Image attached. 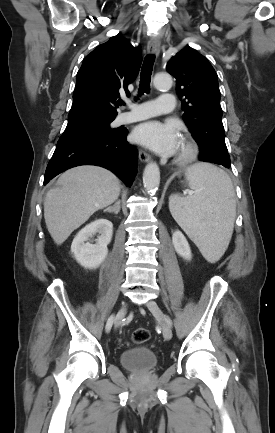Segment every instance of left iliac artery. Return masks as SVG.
<instances>
[{
    "mask_svg": "<svg viewBox=\"0 0 275 433\" xmlns=\"http://www.w3.org/2000/svg\"><path fill=\"white\" fill-rule=\"evenodd\" d=\"M166 320H167V322L169 323V325L171 326V325H172V322H171L170 318H169V317H166Z\"/></svg>",
    "mask_w": 275,
    "mask_h": 433,
    "instance_id": "1",
    "label": "left iliac artery"
}]
</instances>
